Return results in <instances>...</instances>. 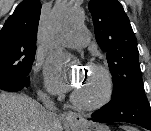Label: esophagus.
I'll return each instance as SVG.
<instances>
[{"label":"esophagus","instance_id":"1","mask_svg":"<svg viewBox=\"0 0 151 131\" xmlns=\"http://www.w3.org/2000/svg\"><path fill=\"white\" fill-rule=\"evenodd\" d=\"M62 120L66 124H68L70 126H74L81 122L82 117L80 114H78L76 112L69 111V112H65L62 114Z\"/></svg>","mask_w":151,"mask_h":131}]
</instances>
